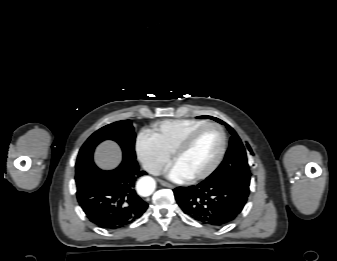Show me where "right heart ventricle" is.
Here are the masks:
<instances>
[{
	"label": "right heart ventricle",
	"instance_id": "obj_1",
	"mask_svg": "<svg viewBox=\"0 0 337 261\" xmlns=\"http://www.w3.org/2000/svg\"><path fill=\"white\" fill-rule=\"evenodd\" d=\"M205 122L195 118L163 120L154 124L149 133L167 153L172 154L191 130Z\"/></svg>",
	"mask_w": 337,
	"mask_h": 261
}]
</instances>
